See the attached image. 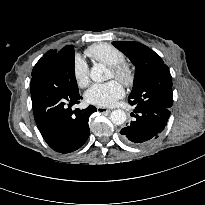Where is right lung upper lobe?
<instances>
[{
	"label": "right lung upper lobe",
	"instance_id": "1",
	"mask_svg": "<svg viewBox=\"0 0 205 205\" xmlns=\"http://www.w3.org/2000/svg\"><path fill=\"white\" fill-rule=\"evenodd\" d=\"M67 47V46H66ZM58 52L55 50H49L47 53H45L42 57L43 60L51 61L54 59V57L57 55Z\"/></svg>",
	"mask_w": 205,
	"mask_h": 205
}]
</instances>
